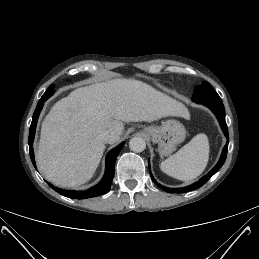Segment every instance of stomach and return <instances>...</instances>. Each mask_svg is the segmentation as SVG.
I'll use <instances>...</instances> for the list:
<instances>
[{"mask_svg":"<svg viewBox=\"0 0 259 259\" xmlns=\"http://www.w3.org/2000/svg\"><path fill=\"white\" fill-rule=\"evenodd\" d=\"M144 132L151 138L153 143L158 144V152L161 157L170 155L178 144L186 137L185 127L177 120L168 119L161 126H148Z\"/></svg>","mask_w":259,"mask_h":259,"instance_id":"1","label":"stomach"}]
</instances>
